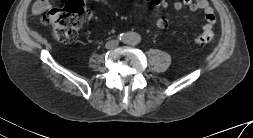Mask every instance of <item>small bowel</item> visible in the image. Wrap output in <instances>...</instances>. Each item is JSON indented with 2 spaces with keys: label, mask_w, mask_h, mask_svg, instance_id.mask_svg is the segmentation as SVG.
<instances>
[{
  "label": "small bowel",
  "mask_w": 253,
  "mask_h": 138,
  "mask_svg": "<svg viewBox=\"0 0 253 138\" xmlns=\"http://www.w3.org/2000/svg\"><path fill=\"white\" fill-rule=\"evenodd\" d=\"M152 5L160 10H166L169 6L167 0H148ZM50 0H37L34 3L33 11L35 14H42L50 8ZM183 7H187L190 11L201 10L204 13L205 22L203 30L211 29L215 24L216 18L214 11L207 0H182L173 4L175 11H180ZM158 29L165 31L169 27V21L166 18H159L156 23Z\"/></svg>",
  "instance_id": "small-bowel-1"
}]
</instances>
